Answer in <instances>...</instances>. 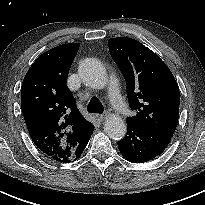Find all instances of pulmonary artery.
Returning a JSON list of instances; mask_svg holds the SVG:
<instances>
[{
	"mask_svg": "<svg viewBox=\"0 0 205 205\" xmlns=\"http://www.w3.org/2000/svg\"><path fill=\"white\" fill-rule=\"evenodd\" d=\"M110 86L109 101L113 107L118 110L121 118L126 119L130 115L131 110L121 97L115 74L110 75Z\"/></svg>",
	"mask_w": 205,
	"mask_h": 205,
	"instance_id": "pulmonary-artery-1",
	"label": "pulmonary artery"
}]
</instances>
